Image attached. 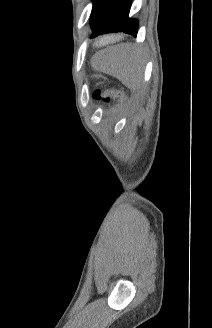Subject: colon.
<instances>
[{
    "label": "colon",
    "mask_w": 212,
    "mask_h": 328,
    "mask_svg": "<svg viewBox=\"0 0 212 328\" xmlns=\"http://www.w3.org/2000/svg\"><path fill=\"white\" fill-rule=\"evenodd\" d=\"M120 96H121V94L117 90H108V91H105L103 93L101 91H96L93 94V98L96 101L102 102V103H106L112 98H119Z\"/></svg>",
    "instance_id": "colon-1"
}]
</instances>
